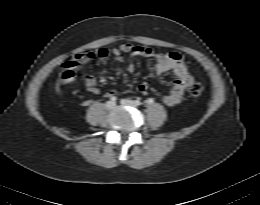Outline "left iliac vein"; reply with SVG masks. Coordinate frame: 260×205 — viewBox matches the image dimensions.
I'll return each instance as SVG.
<instances>
[{"mask_svg": "<svg viewBox=\"0 0 260 205\" xmlns=\"http://www.w3.org/2000/svg\"><path fill=\"white\" fill-rule=\"evenodd\" d=\"M121 104L123 105H129V106H132V107H135V102L130 100V99H122L121 100Z\"/></svg>", "mask_w": 260, "mask_h": 205, "instance_id": "left-iliac-vein-1", "label": "left iliac vein"}]
</instances>
